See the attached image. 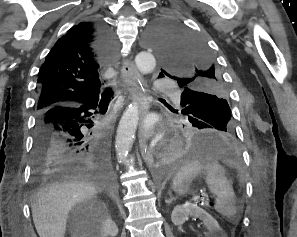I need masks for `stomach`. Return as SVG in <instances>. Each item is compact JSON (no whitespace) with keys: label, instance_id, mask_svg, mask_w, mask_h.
<instances>
[{"label":"stomach","instance_id":"stomach-1","mask_svg":"<svg viewBox=\"0 0 297 237\" xmlns=\"http://www.w3.org/2000/svg\"><path fill=\"white\" fill-rule=\"evenodd\" d=\"M172 190L180 196L185 195L190 191L189 182L183 181L180 184L172 185Z\"/></svg>","mask_w":297,"mask_h":237}]
</instances>
